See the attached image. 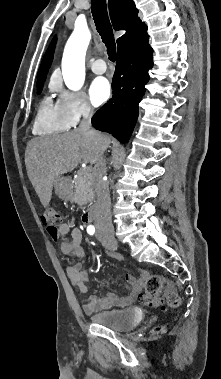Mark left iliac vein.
<instances>
[{
    "instance_id": "1",
    "label": "left iliac vein",
    "mask_w": 221,
    "mask_h": 379,
    "mask_svg": "<svg viewBox=\"0 0 221 379\" xmlns=\"http://www.w3.org/2000/svg\"><path fill=\"white\" fill-rule=\"evenodd\" d=\"M102 244L104 247H106L107 249L109 250H116L117 249V244L116 243H111V242H108L106 240H102Z\"/></svg>"
}]
</instances>
